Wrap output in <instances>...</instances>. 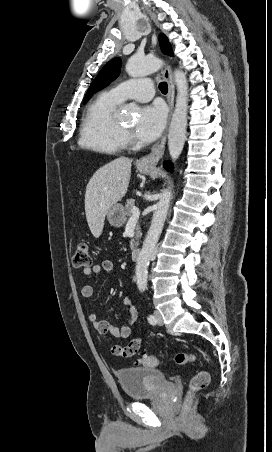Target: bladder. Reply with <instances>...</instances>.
Returning a JSON list of instances; mask_svg holds the SVG:
<instances>
[{
    "label": "bladder",
    "instance_id": "obj_1",
    "mask_svg": "<svg viewBox=\"0 0 272 452\" xmlns=\"http://www.w3.org/2000/svg\"><path fill=\"white\" fill-rule=\"evenodd\" d=\"M116 375L120 387L130 399L151 396L167 384L165 374L154 368H121Z\"/></svg>",
    "mask_w": 272,
    "mask_h": 452
}]
</instances>
